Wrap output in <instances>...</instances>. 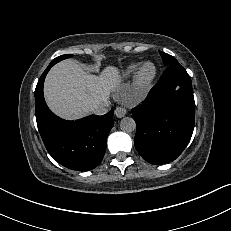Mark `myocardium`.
<instances>
[{
  "label": "myocardium",
  "mask_w": 231,
  "mask_h": 231,
  "mask_svg": "<svg viewBox=\"0 0 231 231\" xmlns=\"http://www.w3.org/2000/svg\"><path fill=\"white\" fill-rule=\"evenodd\" d=\"M149 65L152 66L153 71L149 76H145L144 70ZM157 73H158L157 68L153 63L146 62V63L142 64L139 67V69L137 70L136 75H135L134 85H135V88L137 89V91L138 92H144L145 90H147L152 85L154 80L156 79Z\"/></svg>",
  "instance_id": "obj_1"
}]
</instances>
